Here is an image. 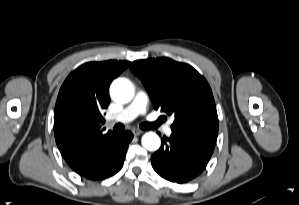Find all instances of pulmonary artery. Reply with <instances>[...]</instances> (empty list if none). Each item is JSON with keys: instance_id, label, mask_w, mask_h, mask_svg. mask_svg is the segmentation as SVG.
Returning a JSON list of instances; mask_svg holds the SVG:
<instances>
[{"instance_id": "pulmonary-artery-1", "label": "pulmonary artery", "mask_w": 299, "mask_h": 205, "mask_svg": "<svg viewBox=\"0 0 299 205\" xmlns=\"http://www.w3.org/2000/svg\"><path fill=\"white\" fill-rule=\"evenodd\" d=\"M147 104V94L144 91L137 92L133 101L114 118V121L120 123H127L134 120L137 116L146 113ZM170 124L171 122L164 128L167 135L172 134Z\"/></svg>"}]
</instances>
